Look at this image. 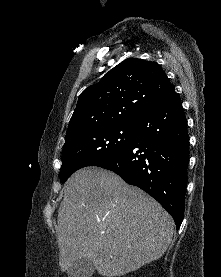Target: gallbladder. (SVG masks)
Instances as JSON below:
<instances>
[{
    "label": "gallbladder",
    "instance_id": "1",
    "mask_svg": "<svg viewBox=\"0 0 221 277\" xmlns=\"http://www.w3.org/2000/svg\"><path fill=\"white\" fill-rule=\"evenodd\" d=\"M95 271L94 263L89 259H79L67 270L68 277H91Z\"/></svg>",
    "mask_w": 221,
    "mask_h": 277
}]
</instances>
